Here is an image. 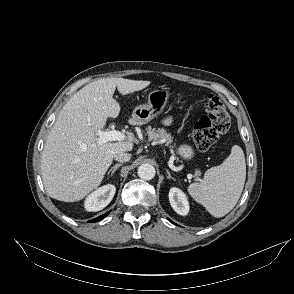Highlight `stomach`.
<instances>
[{
    "instance_id": "obj_1",
    "label": "stomach",
    "mask_w": 294,
    "mask_h": 294,
    "mask_svg": "<svg viewBox=\"0 0 294 294\" xmlns=\"http://www.w3.org/2000/svg\"><path fill=\"white\" fill-rule=\"evenodd\" d=\"M169 91L167 88L155 89L149 92L147 104L137 106L132 112V122L137 125L148 123L154 117L162 114L168 99ZM177 153L185 160H191L194 157V150L189 145H181Z\"/></svg>"
}]
</instances>
